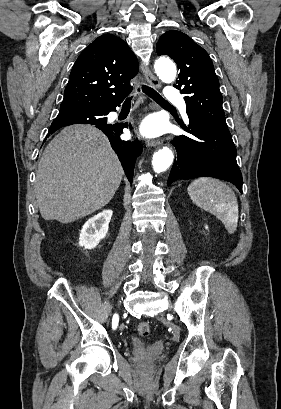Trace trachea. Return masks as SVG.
<instances>
[{
    "label": "trachea",
    "instance_id": "1",
    "mask_svg": "<svg viewBox=\"0 0 281 409\" xmlns=\"http://www.w3.org/2000/svg\"><path fill=\"white\" fill-rule=\"evenodd\" d=\"M140 88L146 95H148V97L152 98L155 102L159 104L171 105L167 100L161 97V95H159V93H157L156 90H154L153 88L141 84L140 87L137 88V91H140ZM132 98L133 96L127 97L125 103L131 102Z\"/></svg>",
    "mask_w": 281,
    "mask_h": 409
}]
</instances>
